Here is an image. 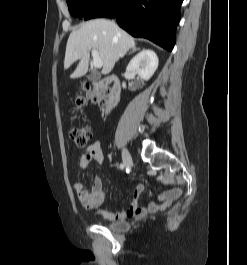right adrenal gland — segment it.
Segmentation results:
<instances>
[{
  "label": "right adrenal gland",
  "mask_w": 247,
  "mask_h": 265,
  "mask_svg": "<svg viewBox=\"0 0 247 265\" xmlns=\"http://www.w3.org/2000/svg\"><path fill=\"white\" fill-rule=\"evenodd\" d=\"M137 50H139V49L138 48H132V50L129 52V54L134 53Z\"/></svg>",
  "instance_id": "2a0ac1e0"
}]
</instances>
